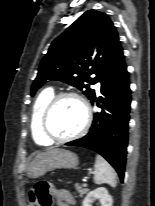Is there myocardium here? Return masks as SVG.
Segmentation results:
<instances>
[{
    "mask_svg": "<svg viewBox=\"0 0 155 206\" xmlns=\"http://www.w3.org/2000/svg\"><path fill=\"white\" fill-rule=\"evenodd\" d=\"M64 98H74L76 99L82 106L83 108V112H84V121L83 124L81 126V128L66 137H56L54 136L49 128H48V118L49 115L51 113V111L53 110L54 106L62 99ZM92 122V111L90 108V105L88 103V101L79 93L77 92H73V91H65V92H60L58 94H55L50 101L48 102V104L45 106L43 113L41 115V130L42 133L45 135V137L51 141V142H67V141H71L74 139H77L81 136H83L89 129L90 125Z\"/></svg>",
    "mask_w": 155,
    "mask_h": 206,
    "instance_id": "obj_1",
    "label": "myocardium"
}]
</instances>
